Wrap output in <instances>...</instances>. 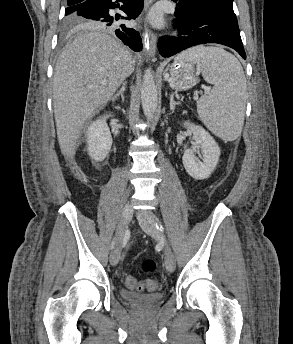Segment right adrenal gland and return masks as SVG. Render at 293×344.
<instances>
[{"label": "right adrenal gland", "mask_w": 293, "mask_h": 344, "mask_svg": "<svg viewBox=\"0 0 293 344\" xmlns=\"http://www.w3.org/2000/svg\"><path fill=\"white\" fill-rule=\"evenodd\" d=\"M126 89V82L122 84L121 89L113 96L112 101H116L120 96L122 101L124 102V91Z\"/></svg>", "instance_id": "right-adrenal-gland-1"}]
</instances>
